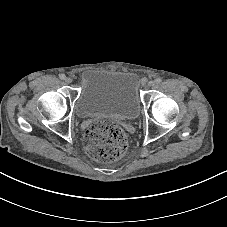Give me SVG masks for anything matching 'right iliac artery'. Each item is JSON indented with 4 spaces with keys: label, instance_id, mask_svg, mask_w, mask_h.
I'll use <instances>...</instances> for the list:
<instances>
[{
    "label": "right iliac artery",
    "instance_id": "82829eb1",
    "mask_svg": "<svg viewBox=\"0 0 227 227\" xmlns=\"http://www.w3.org/2000/svg\"><path fill=\"white\" fill-rule=\"evenodd\" d=\"M59 78H60L61 80H64V79L66 78V76H65L64 74H60V75H59Z\"/></svg>",
    "mask_w": 227,
    "mask_h": 227
}]
</instances>
